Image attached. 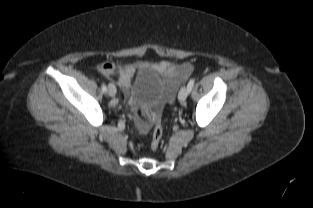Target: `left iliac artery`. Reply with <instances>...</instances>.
<instances>
[{
    "label": "left iliac artery",
    "mask_w": 313,
    "mask_h": 208,
    "mask_svg": "<svg viewBox=\"0 0 313 208\" xmlns=\"http://www.w3.org/2000/svg\"><path fill=\"white\" fill-rule=\"evenodd\" d=\"M195 83V80L194 79H191L187 85V89L189 92H191L192 88H193V85Z\"/></svg>",
    "instance_id": "left-iliac-artery-1"
}]
</instances>
